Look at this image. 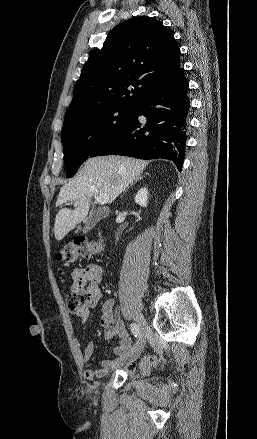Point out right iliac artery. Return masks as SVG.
Wrapping results in <instances>:
<instances>
[{
	"label": "right iliac artery",
	"instance_id": "right-iliac-artery-1",
	"mask_svg": "<svg viewBox=\"0 0 257 439\" xmlns=\"http://www.w3.org/2000/svg\"><path fill=\"white\" fill-rule=\"evenodd\" d=\"M130 330L134 337H138L140 335L139 326L136 323H132L130 325Z\"/></svg>",
	"mask_w": 257,
	"mask_h": 439
}]
</instances>
